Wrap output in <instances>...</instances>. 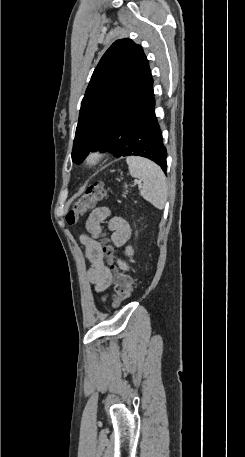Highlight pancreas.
Wrapping results in <instances>:
<instances>
[{"mask_svg":"<svg viewBox=\"0 0 245 457\" xmlns=\"http://www.w3.org/2000/svg\"><path fill=\"white\" fill-rule=\"evenodd\" d=\"M125 188H127V184H125ZM127 192H129V190H126V192H124V194H127Z\"/></svg>","mask_w":245,"mask_h":457,"instance_id":"1","label":"pancreas"}]
</instances>
